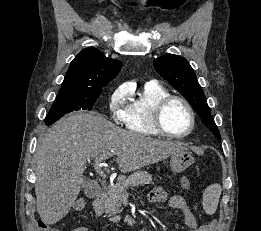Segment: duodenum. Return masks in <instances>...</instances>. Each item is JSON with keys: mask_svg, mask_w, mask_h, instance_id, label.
Masks as SVG:
<instances>
[{"mask_svg": "<svg viewBox=\"0 0 261 231\" xmlns=\"http://www.w3.org/2000/svg\"><path fill=\"white\" fill-rule=\"evenodd\" d=\"M104 196H105L104 191H102L99 194H97L95 199H94V209L98 213H101V211H102Z\"/></svg>", "mask_w": 261, "mask_h": 231, "instance_id": "obj_1", "label": "duodenum"}]
</instances>
